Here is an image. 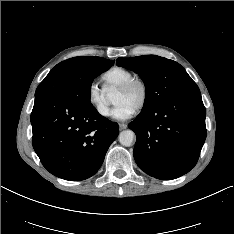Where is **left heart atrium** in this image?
Listing matches in <instances>:
<instances>
[{
  "label": "left heart atrium",
  "mask_w": 234,
  "mask_h": 234,
  "mask_svg": "<svg viewBox=\"0 0 234 234\" xmlns=\"http://www.w3.org/2000/svg\"><path fill=\"white\" fill-rule=\"evenodd\" d=\"M134 111L135 109L128 104L121 103L112 109L111 116L116 120H127L134 114Z\"/></svg>",
  "instance_id": "obj_1"
}]
</instances>
